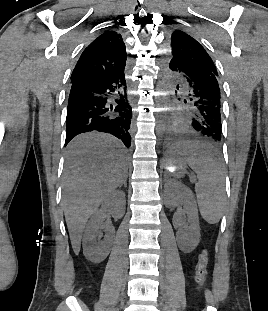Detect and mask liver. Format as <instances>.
<instances>
[{"instance_id":"obj_1","label":"liver","mask_w":268,"mask_h":311,"mask_svg":"<svg viewBox=\"0 0 268 311\" xmlns=\"http://www.w3.org/2000/svg\"><path fill=\"white\" fill-rule=\"evenodd\" d=\"M121 142L98 133L76 137L68 146L63 176V210L75 254L88 218L126 178Z\"/></svg>"}]
</instances>
